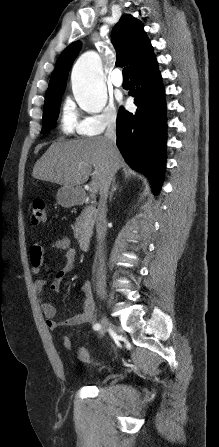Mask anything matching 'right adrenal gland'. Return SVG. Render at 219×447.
Instances as JSON below:
<instances>
[{
    "label": "right adrenal gland",
    "mask_w": 219,
    "mask_h": 447,
    "mask_svg": "<svg viewBox=\"0 0 219 447\" xmlns=\"http://www.w3.org/2000/svg\"><path fill=\"white\" fill-rule=\"evenodd\" d=\"M117 188H118V185L116 184V180L113 179L112 187H111V191H110V193H109V201L112 200L113 194H114V192L117 190Z\"/></svg>",
    "instance_id": "2a0ac1e0"
}]
</instances>
